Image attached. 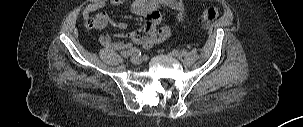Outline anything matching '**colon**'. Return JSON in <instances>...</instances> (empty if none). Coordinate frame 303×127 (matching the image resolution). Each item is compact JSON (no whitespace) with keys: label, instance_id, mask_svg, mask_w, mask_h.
I'll return each instance as SVG.
<instances>
[{"label":"colon","instance_id":"5ec220e1","mask_svg":"<svg viewBox=\"0 0 303 127\" xmlns=\"http://www.w3.org/2000/svg\"><path fill=\"white\" fill-rule=\"evenodd\" d=\"M219 12L214 7L206 8L201 16V22L203 27H208L212 22H214L218 18ZM86 23L88 25H92L94 23V19L91 16L86 18Z\"/></svg>","mask_w":303,"mask_h":127}]
</instances>
